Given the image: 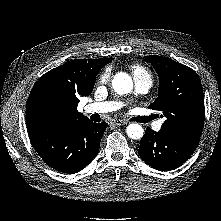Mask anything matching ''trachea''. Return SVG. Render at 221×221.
Listing matches in <instances>:
<instances>
[{
  "instance_id": "3493384b",
  "label": "trachea",
  "mask_w": 221,
  "mask_h": 221,
  "mask_svg": "<svg viewBox=\"0 0 221 221\" xmlns=\"http://www.w3.org/2000/svg\"><path fill=\"white\" fill-rule=\"evenodd\" d=\"M152 118H153L152 116L142 118L141 122H148V121L152 120Z\"/></svg>"
}]
</instances>
